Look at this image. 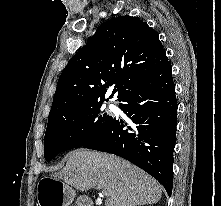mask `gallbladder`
I'll return each instance as SVG.
<instances>
[{
    "label": "gallbladder",
    "instance_id": "bac80fb5",
    "mask_svg": "<svg viewBox=\"0 0 221 206\" xmlns=\"http://www.w3.org/2000/svg\"><path fill=\"white\" fill-rule=\"evenodd\" d=\"M94 201L95 202H102L103 201V198L102 197H95L94 198ZM95 206H98L97 204Z\"/></svg>",
    "mask_w": 221,
    "mask_h": 206
}]
</instances>
